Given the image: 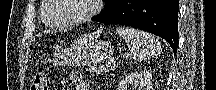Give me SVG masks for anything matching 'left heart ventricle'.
<instances>
[{"mask_svg":"<svg viewBox=\"0 0 216 90\" xmlns=\"http://www.w3.org/2000/svg\"><path fill=\"white\" fill-rule=\"evenodd\" d=\"M64 1L62 10L55 13L53 19H47L48 22L55 26L70 25L78 21L87 10L85 4L87 0H59Z\"/></svg>","mask_w":216,"mask_h":90,"instance_id":"1","label":"left heart ventricle"}]
</instances>
